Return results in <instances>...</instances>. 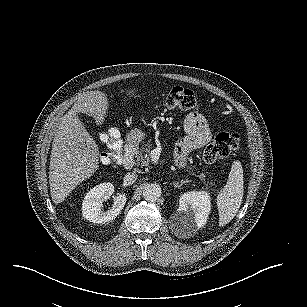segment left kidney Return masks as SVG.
<instances>
[{"label":"left kidney","mask_w":307,"mask_h":307,"mask_svg":"<svg viewBox=\"0 0 307 307\" xmlns=\"http://www.w3.org/2000/svg\"><path fill=\"white\" fill-rule=\"evenodd\" d=\"M211 211V197L207 191H190L182 194L172 225L175 232L193 235L203 227Z\"/></svg>","instance_id":"5707ae66"}]
</instances>
